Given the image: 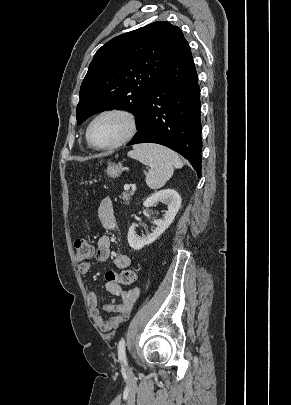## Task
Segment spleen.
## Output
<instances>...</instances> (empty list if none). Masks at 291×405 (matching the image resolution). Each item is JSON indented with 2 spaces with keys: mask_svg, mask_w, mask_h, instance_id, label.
Listing matches in <instances>:
<instances>
[{
  "mask_svg": "<svg viewBox=\"0 0 291 405\" xmlns=\"http://www.w3.org/2000/svg\"><path fill=\"white\" fill-rule=\"evenodd\" d=\"M150 167L146 183L152 189H158L171 178L174 168H182L183 163L172 150L156 144H140L128 153Z\"/></svg>",
  "mask_w": 291,
  "mask_h": 405,
  "instance_id": "1",
  "label": "spleen"
}]
</instances>
